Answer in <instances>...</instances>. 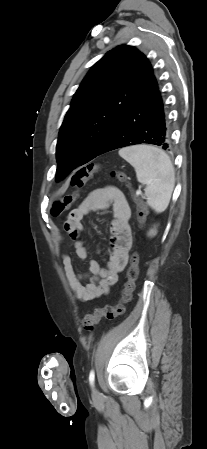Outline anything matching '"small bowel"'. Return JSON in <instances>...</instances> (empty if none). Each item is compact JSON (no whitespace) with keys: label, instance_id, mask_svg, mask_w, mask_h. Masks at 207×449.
Returning a JSON list of instances; mask_svg holds the SVG:
<instances>
[{"label":"small bowel","instance_id":"small-bowel-1","mask_svg":"<svg viewBox=\"0 0 207 449\" xmlns=\"http://www.w3.org/2000/svg\"><path fill=\"white\" fill-rule=\"evenodd\" d=\"M112 207L111 247L104 266L96 261L89 264V282L82 284L85 275L79 273L71 259L64 253L61 256L62 264L69 281L70 288L82 301H90L105 295L114 286L120 272L127 264L132 246V232L130 228L131 210L124 194L115 187H102L89 193L81 204L72 210L63 223V228L74 241L76 254L81 260L87 257L84 242L80 239L84 231L82 221L85 216L96 210Z\"/></svg>","mask_w":207,"mask_h":449}]
</instances>
